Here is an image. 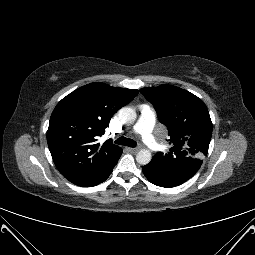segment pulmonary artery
<instances>
[{"label": "pulmonary artery", "mask_w": 255, "mask_h": 255, "mask_svg": "<svg viewBox=\"0 0 255 255\" xmlns=\"http://www.w3.org/2000/svg\"><path fill=\"white\" fill-rule=\"evenodd\" d=\"M156 122V113L148 105H142L139 119L134 126V131L142 136L143 141L151 150H159L160 144L152 134Z\"/></svg>", "instance_id": "e3ab8cb5"}]
</instances>
